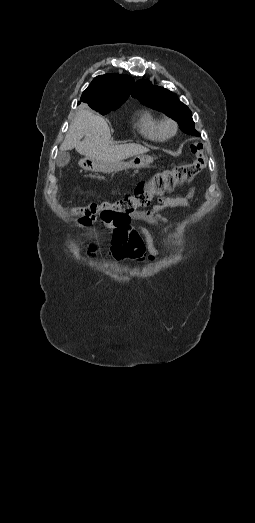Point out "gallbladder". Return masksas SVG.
<instances>
[{
  "instance_id": "obj_1",
  "label": "gallbladder",
  "mask_w": 255,
  "mask_h": 523,
  "mask_svg": "<svg viewBox=\"0 0 255 523\" xmlns=\"http://www.w3.org/2000/svg\"><path fill=\"white\" fill-rule=\"evenodd\" d=\"M69 162H70L69 152H66V150H59L57 160H56V166H58V168H63V166H66V164H69Z\"/></svg>"
}]
</instances>
